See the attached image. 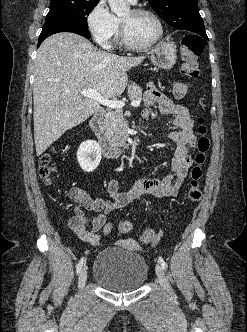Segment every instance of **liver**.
I'll return each instance as SVG.
<instances>
[{
  "label": "liver",
  "instance_id": "liver-1",
  "mask_svg": "<svg viewBox=\"0 0 247 332\" xmlns=\"http://www.w3.org/2000/svg\"><path fill=\"white\" fill-rule=\"evenodd\" d=\"M144 59L97 51L87 39L74 33L48 37L37 51L34 70L37 156L99 108V102L84 98L81 90L94 89L107 99L119 96L128 84L127 71Z\"/></svg>",
  "mask_w": 247,
  "mask_h": 332
}]
</instances>
